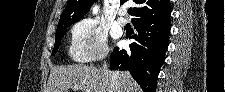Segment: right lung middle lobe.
<instances>
[{
    "instance_id": "obj_1",
    "label": "right lung middle lobe",
    "mask_w": 225,
    "mask_h": 92,
    "mask_svg": "<svg viewBox=\"0 0 225 92\" xmlns=\"http://www.w3.org/2000/svg\"><path fill=\"white\" fill-rule=\"evenodd\" d=\"M71 25L72 24H62L57 26L56 35H55V45L53 48L52 55H55L57 53L61 40L63 36L65 35L67 28Z\"/></svg>"
}]
</instances>
